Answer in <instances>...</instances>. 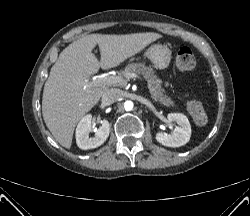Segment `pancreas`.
Masks as SVG:
<instances>
[{
  "instance_id": "cf45deb5",
  "label": "pancreas",
  "mask_w": 250,
  "mask_h": 216,
  "mask_svg": "<svg viewBox=\"0 0 250 216\" xmlns=\"http://www.w3.org/2000/svg\"><path fill=\"white\" fill-rule=\"evenodd\" d=\"M129 73L141 74L144 79H146L151 97L155 101H159L161 104L168 107L175 106V102L165 93V90L162 88V80L154 74L152 67H147L142 63H131L128 64L120 74L127 78V74ZM126 83L127 81L119 85L124 86Z\"/></svg>"
}]
</instances>
